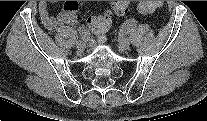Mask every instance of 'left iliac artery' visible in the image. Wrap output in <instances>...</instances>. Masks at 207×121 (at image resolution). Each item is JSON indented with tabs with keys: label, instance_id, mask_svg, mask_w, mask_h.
<instances>
[{
	"label": "left iliac artery",
	"instance_id": "obj_1",
	"mask_svg": "<svg viewBox=\"0 0 207 121\" xmlns=\"http://www.w3.org/2000/svg\"><path fill=\"white\" fill-rule=\"evenodd\" d=\"M136 22H137L136 19L132 17L129 19V22L127 21L123 23L121 25V34L124 36L127 35L130 32L131 26L135 25Z\"/></svg>",
	"mask_w": 207,
	"mask_h": 121
}]
</instances>
